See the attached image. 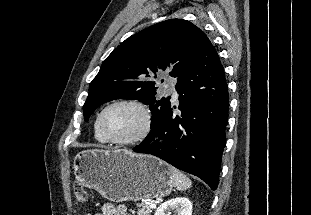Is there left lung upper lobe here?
<instances>
[{
	"mask_svg": "<svg viewBox=\"0 0 311 215\" xmlns=\"http://www.w3.org/2000/svg\"><path fill=\"white\" fill-rule=\"evenodd\" d=\"M205 37L200 28L182 19L157 23L129 37L107 57L91 82L83 106L85 121L105 102L139 99L149 105L153 124L170 100L157 96L154 79L165 70L177 79L197 55Z\"/></svg>",
	"mask_w": 311,
	"mask_h": 215,
	"instance_id": "left-lung-upper-lobe-1",
	"label": "left lung upper lobe"
}]
</instances>
